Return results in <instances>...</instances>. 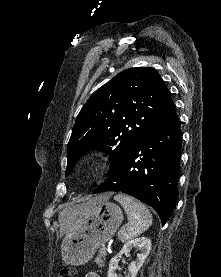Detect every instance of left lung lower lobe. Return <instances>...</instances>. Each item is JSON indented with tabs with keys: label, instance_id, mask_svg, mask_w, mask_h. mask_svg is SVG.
Returning a JSON list of instances; mask_svg holds the SVG:
<instances>
[{
	"label": "left lung lower lobe",
	"instance_id": "0a47b994",
	"mask_svg": "<svg viewBox=\"0 0 221 277\" xmlns=\"http://www.w3.org/2000/svg\"><path fill=\"white\" fill-rule=\"evenodd\" d=\"M181 130L174 104L127 151L118 168L93 193L118 191L153 207L164 225L176 204Z\"/></svg>",
	"mask_w": 221,
	"mask_h": 277
}]
</instances>
